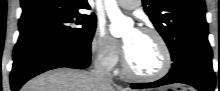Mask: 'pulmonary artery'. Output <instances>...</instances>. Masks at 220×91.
<instances>
[{"instance_id": "1", "label": "pulmonary artery", "mask_w": 220, "mask_h": 91, "mask_svg": "<svg viewBox=\"0 0 220 91\" xmlns=\"http://www.w3.org/2000/svg\"><path fill=\"white\" fill-rule=\"evenodd\" d=\"M119 6H121L124 9L132 10L139 6L140 1L139 0H120L117 1Z\"/></svg>"}]
</instances>
